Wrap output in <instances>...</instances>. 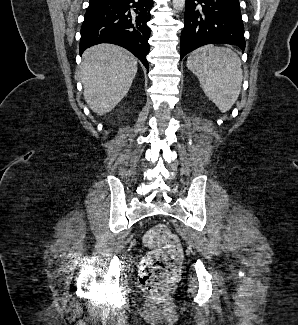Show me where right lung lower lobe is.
<instances>
[{
  "label": "right lung lower lobe",
  "mask_w": 298,
  "mask_h": 325,
  "mask_svg": "<svg viewBox=\"0 0 298 325\" xmlns=\"http://www.w3.org/2000/svg\"><path fill=\"white\" fill-rule=\"evenodd\" d=\"M153 0H90L81 27L80 54L95 44L112 43L132 52L149 69L146 55Z\"/></svg>",
  "instance_id": "obj_1"
}]
</instances>
